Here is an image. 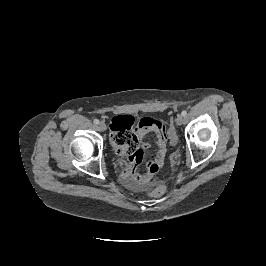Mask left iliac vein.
I'll return each instance as SVG.
<instances>
[{"label":"left iliac vein","mask_w":266,"mask_h":266,"mask_svg":"<svg viewBox=\"0 0 266 266\" xmlns=\"http://www.w3.org/2000/svg\"><path fill=\"white\" fill-rule=\"evenodd\" d=\"M184 123V117L182 115H178L176 118V124L178 126L182 125Z\"/></svg>","instance_id":"obj_1"}]
</instances>
